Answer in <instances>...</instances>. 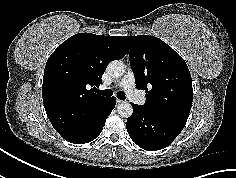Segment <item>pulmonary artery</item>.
<instances>
[{"label":"pulmonary artery","instance_id":"e3ab8cb5","mask_svg":"<svg viewBox=\"0 0 236 178\" xmlns=\"http://www.w3.org/2000/svg\"><path fill=\"white\" fill-rule=\"evenodd\" d=\"M118 87L123 89L127 96L130 97L134 102L141 103L144 101L143 94L138 89H136L135 75L131 70H129L118 83Z\"/></svg>","mask_w":236,"mask_h":178}]
</instances>
